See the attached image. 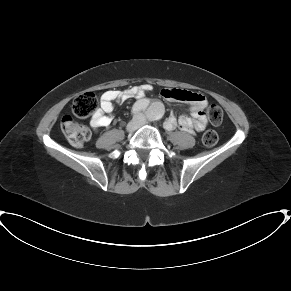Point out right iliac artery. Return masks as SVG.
Segmentation results:
<instances>
[{"mask_svg": "<svg viewBox=\"0 0 291 291\" xmlns=\"http://www.w3.org/2000/svg\"><path fill=\"white\" fill-rule=\"evenodd\" d=\"M138 111H139V110L136 109L135 107L132 108V114H136V113H138Z\"/></svg>", "mask_w": 291, "mask_h": 291, "instance_id": "obj_1", "label": "right iliac artery"}]
</instances>
